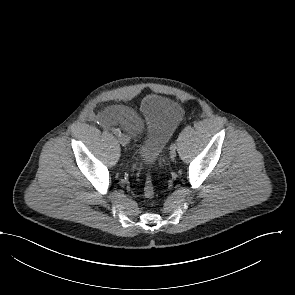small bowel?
I'll return each mask as SVG.
<instances>
[{
	"mask_svg": "<svg viewBox=\"0 0 295 295\" xmlns=\"http://www.w3.org/2000/svg\"><path fill=\"white\" fill-rule=\"evenodd\" d=\"M98 121L110 127L121 125L130 134H138L143 128L142 118L133 110L122 106H111L96 115Z\"/></svg>",
	"mask_w": 295,
	"mask_h": 295,
	"instance_id": "obj_1",
	"label": "small bowel"
}]
</instances>
